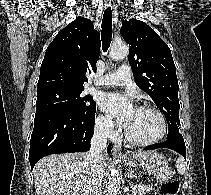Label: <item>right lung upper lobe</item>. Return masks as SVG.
<instances>
[{
    "label": "right lung upper lobe",
    "instance_id": "cb5924a9",
    "mask_svg": "<svg viewBox=\"0 0 211 195\" xmlns=\"http://www.w3.org/2000/svg\"><path fill=\"white\" fill-rule=\"evenodd\" d=\"M99 52V32L89 19L78 16L47 47L37 93L55 88L84 89L86 73L96 69Z\"/></svg>",
    "mask_w": 211,
    "mask_h": 195
}]
</instances>
